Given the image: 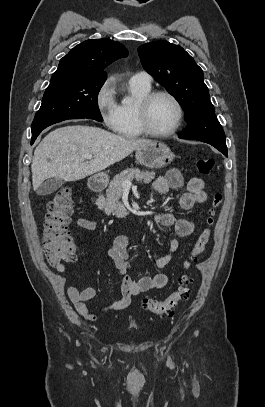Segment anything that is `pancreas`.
<instances>
[{
  "label": "pancreas",
  "mask_w": 265,
  "mask_h": 407,
  "mask_svg": "<svg viewBox=\"0 0 265 407\" xmlns=\"http://www.w3.org/2000/svg\"><path fill=\"white\" fill-rule=\"evenodd\" d=\"M154 178V172L141 171L136 168L126 169L113 178L106 191V198L100 196L97 200V205L100 209H103L107 215L115 214L117 217L124 216L126 209L119 202L123 191V182H132L136 179L140 183L148 184Z\"/></svg>",
  "instance_id": "1"
}]
</instances>
